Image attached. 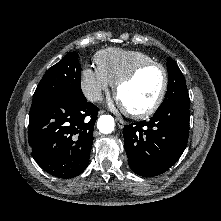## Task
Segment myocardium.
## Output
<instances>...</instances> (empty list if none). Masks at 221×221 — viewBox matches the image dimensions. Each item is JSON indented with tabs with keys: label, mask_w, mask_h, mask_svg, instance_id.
Here are the masks:
<instances>
[{
	"label": "myocardium",
	"mask_w": 221,
	"mask_h": 221,
	"mask_svg": "<svg viewBox=\"0 0 221 221\" xmlns=\"http://www.w3.org/2000/svg\"><path fill=\"white\" fill-rule=\"evenodd\" d=\"M151 67H157L161 70V72L163 74L162 87H161L160 92H159L158 96L156 97L155 101L149 107H147L143 110H137V111L128 110L126 108L124 109L125 112L133 118H145V117L151 116L161 106V104L165 98V95L167 93L168 85H169V75H168L166 68L159 62H155V61L144 62V63H141V64L135 66L131 71H129L126 75H124L115 84V96L118 98L119 91L121 90L122 87H124L128 83L132 82L140 74V72H142L143 70H145L147 68H151Z\"/></svg>",
	"instance_id": "myocardium-1"
}]
</instances>
